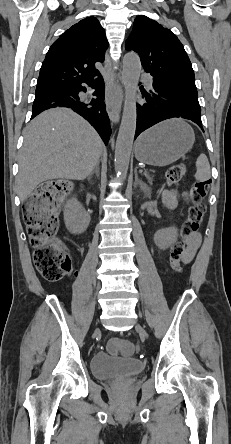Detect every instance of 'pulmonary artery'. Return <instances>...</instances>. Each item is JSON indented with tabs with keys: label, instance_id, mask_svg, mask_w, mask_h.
<instances>
[{
	"label": "pulmonary artery",
	"instance_id": "e3ab8cb5",
	"mask_svg": "<svg viewBox=\"0 0 231 444\" xmlns=\"http://www.w3.org/2000/svg\"><path fill=\"white\" fill-rule=\"evenodd\" d=\"M141 79H142L147 85L151 86V84H152V80H151L150 76H148V75H142V76H141Z\"/></svg>",
	"mask_w": 231,
	"mask_h": 444
}]
</instances>
